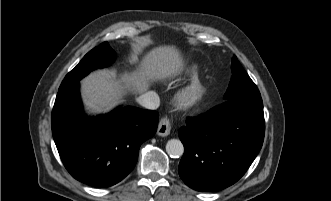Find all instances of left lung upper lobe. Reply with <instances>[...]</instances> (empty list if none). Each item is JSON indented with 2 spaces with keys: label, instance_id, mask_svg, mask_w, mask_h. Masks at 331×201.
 <instances>
[{
  "label": "left lung upper lobe",
  "instance_id": "1",
  "mask_svg": "<svg viewBox=\"0 0 331 201\" xmlns=\"http://www.w3.org/2000/svg\"><path fill=\"white\" fill-rule=\"evenodd\" d=\"M256 95H260L257 86L234 56L232 58V78L224 95L225 100Z\"/></svg>",
  "mask_w": 331,
  "mask_h": 201
}]
</instances>
